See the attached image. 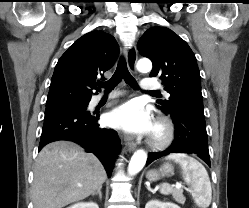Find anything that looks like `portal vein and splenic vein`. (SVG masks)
I'll list each match as a JSON object with an SVG mask.
<instances>
[{
	"label": "portal vein and splenic vein",
	"instance_id": "1",
	"mask_svg": "<svg viewBox=\"0 0 249 208\" xmlns=\"http://www.w3.org/2000/svg\"><path fill=\"white\" fill-rule=\"evenodd\" d=\"M174 187H176V188H181L182 185H181L180 183H176V184L174 185Z\"/></svg>",
	"mask_w": 249,
	"mask_h": 208
}]
</instances>
